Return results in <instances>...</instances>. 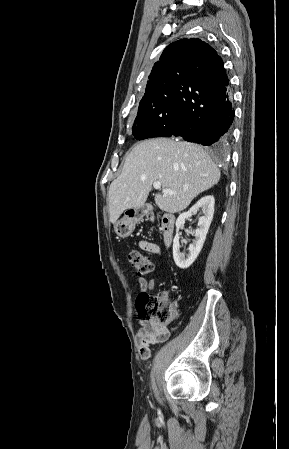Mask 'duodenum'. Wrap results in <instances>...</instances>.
Instances as JSON below:
<instances>
[{
    "mask_svg": "<svg viewBox=\"0 0 289 449\" xmlns=\"http://www.w3.org/2000/svg\"><path fill=\"white\" fill-rule=\"evenodd\" d=\"M174 229H175L174 215L170 213L164 214L161 219V234L163 241L166 245H169L171 243Z\"/></svg>",
    "mask_w": 289,
    "mask_h": 449,
    "instance_id": "obj_1",
    "label": "duodenum"
}]
</instances>
